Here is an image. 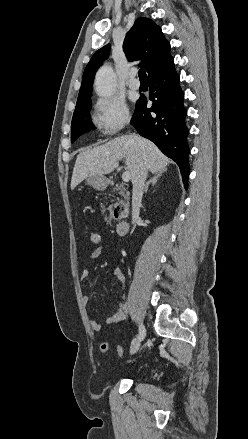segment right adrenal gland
<instances>
[{
    "instance_id": "right-adrenal-gland-1",
    "label": "right adrenal gland",
    "mask_w": 248,
    "mask_h": 439,
    "mask_svg": "<svg viewBox=\"0 0 248 439\" xmlns=\"http://www.w3.org/2000/svg\"><path fill=\"white\" fill-rule=\"evenodd\" d=\"M164 171H159L157 173L154 174V176L147 181V183L145 184L144 187V192L147 193L148 191V187L150 184L155 185L158 182V179L163 175Z\"/></svg>"
}]
</instances>
